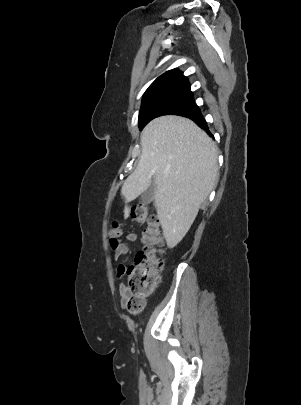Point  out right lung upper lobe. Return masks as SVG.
<instances>
[{
	"mask_svg": "<svg viewBox=\"0 0 301 405\" xmlns=\"http://www.w3.org/2000/svg\"><path fill=\"white\" fill-rule=\"evenodd\" d=\"M182 89L190 90V84L182 72L173 69L159 76L146 90L143 99L159 93Z\"/></svg>",
	"mask_w": 301,
	"mask_h": 405,
	"instance_id": "right-lung-upper-lobe-1",
	"label": "right lung upper lobe"
}]
</instances>
